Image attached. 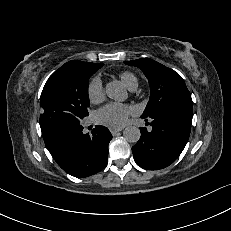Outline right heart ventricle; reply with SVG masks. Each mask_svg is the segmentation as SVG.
Instances as JSON below:
<instances>
[{
	"instance_id": "obj_1",
	"label": "right heart ventricle",
	"mask_w": 231,
	"mask_h": 231,
	"mask_svg": "<svg viewBox=\"0 0 231 231\" xmlns=\"http://www.w3.org/2000/svg\"><path fill=\"white\" fill-rule=\"evenodd\" d=\"M120 79L123 84L129 89L136 88L138 85V80L136 76L131 72L124 71L120 73Z\"/></svg>"
}]
</instances>
